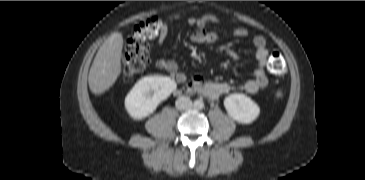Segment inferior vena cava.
<instances>
[{"label": "inferior vena cava", "mask_w": 365, "mask_h": 180, "mask_svg": "<svg viewBox=\"0 0 365 180\" xmlns=\"http://www.w3.org/2000/svg\"><path fill=\"white\" fill-rule=\"evenodd\" d=\"M175 105L178 110H187L192 107V101L189 97L182 96L176 100Z\"/></svg>", "instance_id": "obj_1"}]
</instances>
